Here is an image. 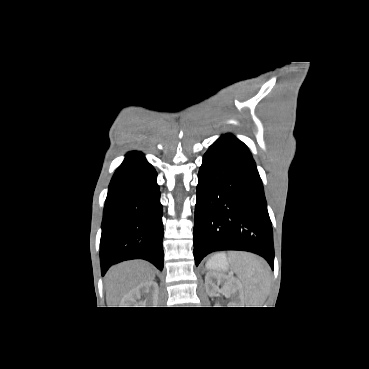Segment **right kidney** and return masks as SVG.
Listing matches in <instances>:
<instances>
[{
    "label": "right kidney",
    "instance_id": "right-kidney-1",
    "mask_svg": "<svg viewBox=\"0 0 369 369\" xmlns=\"http://www.w3.org/2000/svg\"><path fill=\"white\" fill-rule=\"evenodd\" d=\"M146 296L144 301L142 296ZM159 286L155 281H146L130 290L121 300L120 307H156Z\"/></svg>",
    "mask_w": 369,
    "mask_h": 369
}]
</instances>
